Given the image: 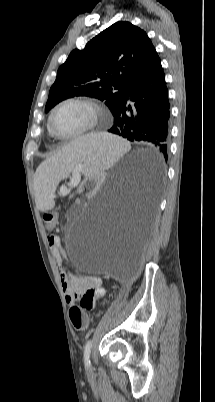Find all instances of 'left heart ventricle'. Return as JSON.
I'll use <instances>...</instances> for the list:
<instances>
[{
	"label": "left heart ventricle",
	"instance_id": "b2bd125f",
	"mask_svg": "<svg viewBox=\"0 0 215 402\" xmlns=\"http://www.w3.org/2000/svg\"><path fill=\"white\" fill-rule=\"evenodd\" d=\"M91 119V111L81 104H66L53 117V128L60 135H70L85 128Z\"/></svg>",
	"mask_w": 215,
	"mask_h": 402
}]
</instances>
